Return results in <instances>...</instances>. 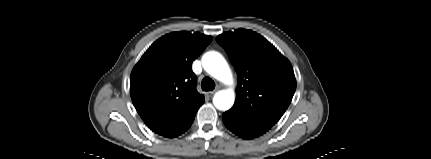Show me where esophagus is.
Here are the masks:
<instances>
[{
  "instance_id": "34e87169",
  "label": "esophagus",
  "mask_w": 431,
  "mask_h": 159,
  "mask_svg": "<svg viewBox=\"0 0 431 159\" xmlns=\"http://www.w3.org/2000/svg\"><path fill=\"white\" fill-rule=\"evenodd\" d=\"M218 89H215V90H213V91H210V92H207L206 93V95L208 96V97H212L215 93H216V91H217Z\"/></svg>"
}]
</instances>
